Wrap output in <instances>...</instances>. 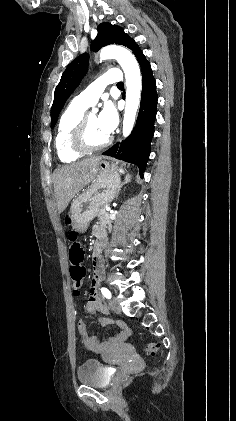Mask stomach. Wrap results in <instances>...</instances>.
<instances>
[{
    "label": "stomach",
    "mask_w": 236,
    "mask_h": 421,
    "mask_svg": "<svg viewBox=\"0 0 236 421\" xmlns=\"http://www.w3.org/2000/svg\"><path fill=\"white\" fill-rule=\"evenodd\" d=\"M120 182L117 166L107 160H100L92 186L82 194H77L72 200L69 215L73 231L77 233L87 231L100 208L115 198Z\"/></svg>",
    "instance_id": "0dacf381"
}]
</instances>
